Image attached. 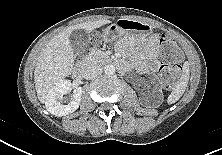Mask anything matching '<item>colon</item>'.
Masks as SVG:
<instances>
[{"label": "colon", "instance_id": "1", "mask_svg": "<svg viewBox=\"0 0 222 155\" xmlns=\"http://www.w3.org/2000/svg\"><path fill=\"white\" fill-rule=\"evenodd\" d=\"M159 42L162 47V57L165 60H177L180 58V50L171 37L162 35ZM181 72V67L178 64L164 63L160 68V79L164 86L170 89L176 85Z\"/></svg>", "mask_w": 222, "mask_h": 155}]
</instances>
